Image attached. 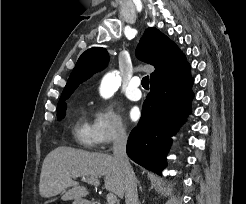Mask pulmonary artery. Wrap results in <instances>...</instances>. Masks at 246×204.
<instances>
[{
	"mask_svg": "<svg viewBox=\"0 0 246 204\" xmlns=\"http://www.w3.org/2000/svg\"><path fill=\"white\" fill-rule=\"evenodd\" d=\"M140 79L138 77H134L131 79L126 91L125 95L128 99L132 101H138L142 97L141 90L139 89Z\"/></svg>",
	"mask_w": 246,
	"mask_h": 204,
	"instance_id": "e3ab8cb5",
	"label": "pulmonary artery"
}]
</instances>
